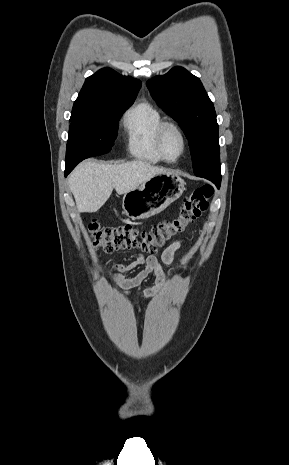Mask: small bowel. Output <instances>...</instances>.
<instances>
[{"label":"small bowel","mask_w":289,"mask_h":465,"mask_svg":"<svg viewBox=\"0 0 289 465\" xmlns=\"http://www.w3.org/2000/svg\"><path fill=\"white\" fill-rule=\"evenodd\" d=\"M187 242V239L174 241L165 248L160 259L154 255L144 256L143 254H138L136 258L127 265L113 264L114 282L123 292L129 294L149 275L153 274L156 278L155 286L147 289L144 292V296L146 298L154 296L161 290L167 280V275L163 267L172 263L175 253ZM140 266H143V268L135 276L130 278L124 276L126 272L132 271Z\"/></svg>","instance_id":"small-bowel-1"}]
</instances>
